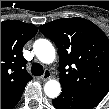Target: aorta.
Listing matches in <instances>:
<instances>
[{"label":"aorta","instance_id":"1","mask_svg":"<svg viewBox=\"0 0 109 109\" xmlns=\"http://www.w3.org/2000/svg\"><path fill=\"white\" fill-rule=\"evenodd\" d=\"M34 52L37 58L45 64L52 63L56 57L54 46L46 39H38L34 43ZM44 92L49 98H57L61 92V85L59 81H47L44 85Z\"/></svg>","mask_w":109,"mask_h":109}]
</instances>
